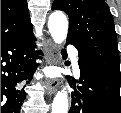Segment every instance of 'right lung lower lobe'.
Instances as JSON below:
<instances>
[{
  "label": "right lung lower lobe",
  "mask_w": 121,
  "mask_h": 113,
  "mask_svg": "<svg viewBox=\"0 0 121 113\" xmlns=\"http://www.w3.org/2000/svg\"><path fill=\"white\" fill-rule=\"evenodd\" d=\"M34 48L32 31L1 44V113H20L26 93L16 90L15 85L32 78L37 66Z\"/></svg>",
  "instance_id": "98d812e1"
}]
</instances>
